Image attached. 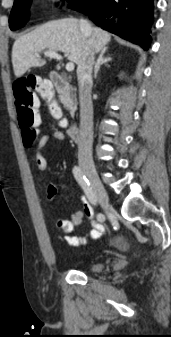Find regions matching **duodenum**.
Masks as SVG:
<instances>
[{
    "label": "duodenum",
    "instance_id": "obj_1",
    "mask_svg": "<svg viewBox=\"0 0 171 337\" xmlns=\"http://www.w3.org/2000/svg\"><path fill=\"white\" fill-rule=\"evenodd\" d=\"M50 79L54 85V87L57 90H68L70 80L67 76L62 75L58 72H51L50 73ZM68 134L70 138H72L74 141H80L81 140V133L79 126L77 124H71L68 126Z\"/></svg>",
    "mask_w": 171,
    "mask_h": 337
}]
</instances>
